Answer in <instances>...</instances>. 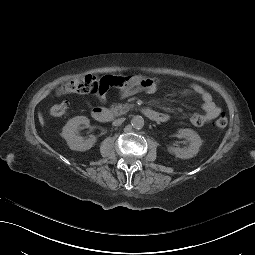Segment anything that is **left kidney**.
Here are the masks:
<instances>
[{
	"instance_id": "obj_1",
	"label": "left kidney",
	"mask_w": 255,
	"mask_h": 255,
	"mask_svg": "<svg viewBox=\"0 0 255 255\" xmlns=\"http://www.w3.org/2000/svg\"><path fill=\"white\" fill-rule=\"evenodd\" d=\"M181 136L187 139V145L184 148H176L172 145H167V151L179 159H190L195 157L202 146V139L192 129L180 130Z\"/></svg>"
}]
</instances>
